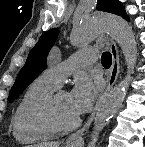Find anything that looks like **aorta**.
Listing matches in <instances>:
<instances>
[{
	"label": "aorta",
	"instance_id": "1",
	"mask_svg": "<svg viewBox=\"0 0 145 147\" xmlns=\"http://www.w3.org/2000/svg\"><path fill=\"white\" fill-rule=\"evenodd\" d=\"M100 32L109 33L121 47L127 65V74L97 107L88 147H95L107 122L121 107L137 61V42L132 28L123 18L115 15L101 14L95 18L84 20L74 27L72 41L77 46H83L90 43Z\"/></svg>",
	"mask_w": 145,
	"mask_h": 147
}]
</instances>
